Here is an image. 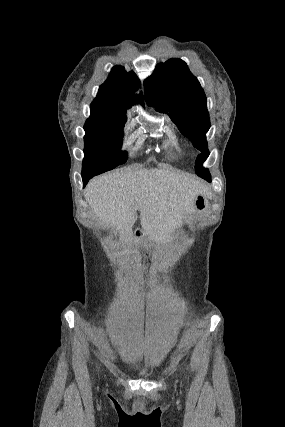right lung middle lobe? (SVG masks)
<instances>
[{"label": "right lung middle lobe", "instance_id": "right-lung-middle-lobe-1", "mask_svg": "<svg viewBox=\"0 0 285 427\" xmlns=\"http://www.w3.org/2000/svg\"><path fill=\"white\" fill-rule=\"evenodd\" d=\"M124 124L84 126L83 174H101L126 162L127 153L120 151Z\"/></svg>", "mask_w": 285, "mask_h": 427}]
</instances>
